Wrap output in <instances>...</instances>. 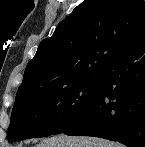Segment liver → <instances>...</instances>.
Wrapping results in <instances>:
<instances>
[{
  "mask_svg": "<svg viewBox=\"0 0 145 147\" xmlns=\"http://www.w3.org/2000/svg\"><path fill=\"white\" fill-rule=\"evenodd\" d=\"M35 147H123L118 143L96 137L58 135L47 138Z\"/></svg>",
  "mask_w": 145,
  "mask_h": 147,
  "instance_id": "liver-1",
  "label": "liver"
}]
</instances>
